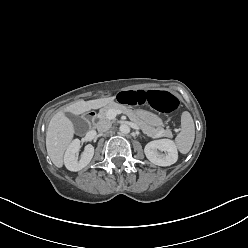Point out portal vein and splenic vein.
Segmentation results:
<instances>
[{
    "label": "portal vein and splenic vein",
    "mask_w": 248,
    "mask_h": 248,
    "mask_svg": "<svg viewBox=\"0 0 248 248\" xmlns=\"http://www.w3.org/2000/svg\"><path fill=\"white\" fill-rule=\"evenodd\" d=\"M121 113H122V111H120V110L110 109L107 112V119L112 120L117 116V114H121Z\"/></svg>",
    "instance_id": "obj_1"
}]
</instances>
